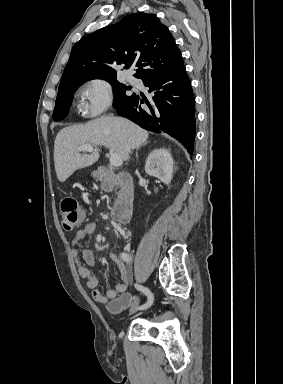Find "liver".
I'll use <instances>...</instances> for the list:
<instances>
[{
  "label": "liver",
  "mask_w": 283,
  "mask_h": 384,
  "mask_svg": "<svg viewBox=\"0 0 283 384\" xmlns=\"http://www.w3.org/2000/svg\"><path fill=\"white\" fill-rule=\"evenodd\" d=\"M148 132L125 118H97L84 126H68L55 138L54 162L59 182H65L73 172L92 166L99 160L98 152L79 154L82 144L106 146L129 160L131 150L139 148L148 140Z\"/></svg>",
  "instance_id": "1"
}]
</instances>
